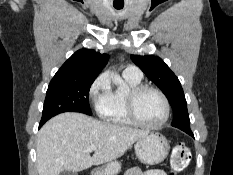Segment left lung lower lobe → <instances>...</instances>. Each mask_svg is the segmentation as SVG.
Returning a JSON list of instances; mask_svg holds the SVG:
<instances>
[{
  "instance_id": "0a47b994",
  "label": "left lung lower lobe",
  "mask_w": 233,
  "mask_h": 175,
  "mask_svg": "<svg viewBox=\"0 0 233 175\" xmlns=\"http://www.w3.org/2000/svg\"><path fill=\"white\" fill-rule=\"evenodd\" d=\"M187 134H189V135L193 136V133H192V131H191V132H188Z\"/></svg>"
}]
</instances>
